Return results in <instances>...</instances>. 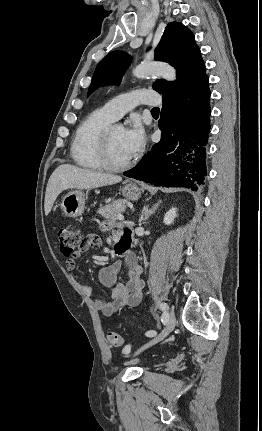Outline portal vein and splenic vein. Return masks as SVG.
I'll use <instances>...</instances> for the list:
<instances>
[{
	"label": "portal vein and splenic vein",
	"instance_id": "portal-vein-and-splenic-vein-1",
	"mask_svg": "<svg viewBox=\"0 0 262 431\" xmlns=\"http://www.w3.org/2000/svg\"><path fill=\"white\" fill-rule=\"evenodd\" d=\"M118 219H119L120 221H124V216H123V215H121V214H119V215H118Z\"/></svg>",
	"mask_w": 262,
	"mask_h": 431
}]
</instances>
